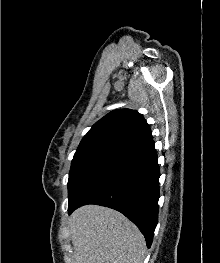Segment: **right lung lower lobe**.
Returning <instances> with one entry per match:
<instances>
[{"label": "right lung lower lobe", "instance_id": "98d812e1", "mask_svg": "<svg viewBox=\"0 0 220 263\" xmlns=\"http://www.w3.org/2000/svg\"><path fill=\"white\" fill-rule=\"evenodd\" d=\"M159 177L151 137L108 161L69 204L68 213L85 204L113 208L137 225L150 247L158 223Z\"/></svg>", "mask_w": 220, "mask_h": 263}]
</instances>
